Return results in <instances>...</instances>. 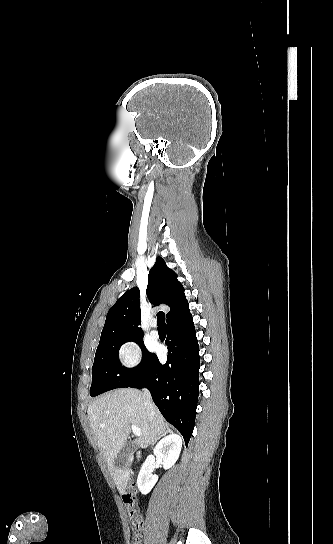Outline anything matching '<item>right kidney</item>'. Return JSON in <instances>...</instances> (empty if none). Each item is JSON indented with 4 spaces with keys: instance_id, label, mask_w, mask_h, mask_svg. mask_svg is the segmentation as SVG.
<instances>
[{
    "instance_id": "1",
    "label": "right kidney",
    "mask_w": 333,
    "mask_h": 544,
    "mask_svg": "<svg viewBox=\"0 0 333 544\" xmlns=\"http://www.w3.org/2000/svg\"><path fill=\"white\" fill-rule=\"evenodd\" d=\"M182 448L181 437L177 434H170L159 441L154 448V455L147 457L143 463L137 478L139 491L146 495L158 481L157 475H152L155 460L159 461L164 469L171 468L179 458ZM156 456V458L154 457Z\"/></svg>"
}]
</instances>
